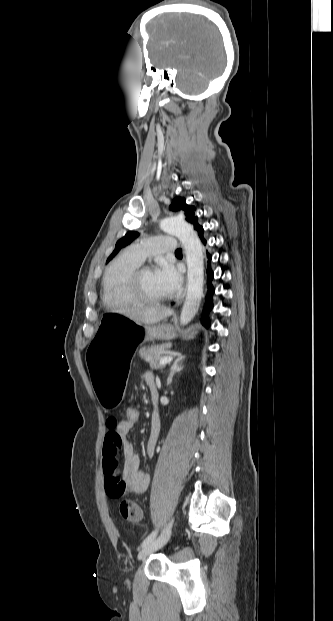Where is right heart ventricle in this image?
I'll list each match as a JSON object with an SVG mask.
<instances>
[{"label":"right heart ventricle","instance_id":"1","mask_svg":"<svg viewBox=\"0 0 333 621\" xmlns=\"http://www.w3.org/2000/svg\"><path fill=\"white\" fill-rule=\"evenodd\" d=\"M140 264L128 253L120 255L112 261L102 281V300L107 307L129 306L137 303L129 297L126 291V282L129 275Z\"/></svg>","mask_w":333,"mask_h":621}]
</instances>
